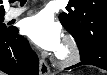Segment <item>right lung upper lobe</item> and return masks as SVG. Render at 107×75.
Segmentation results:
<instances>
[{"label": "right lung upper lobe", "instance_id": "1", "mask_svg": "<svg viewBox=\"0 0 107 75\" xmlns=\"http://www.w3.org/2000/svg\"><path fill=\"white\" fill-rule=\"evenodd\" d=\"M1 4H2V0H0V14H4L5 10H4V7Z\"/></svg>", "mask_w": 107, "mask_h": 75}]
</instances>
